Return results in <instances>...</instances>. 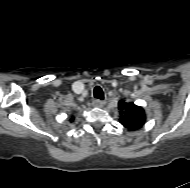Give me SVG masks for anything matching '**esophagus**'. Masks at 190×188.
Segmentation results:
<instances>
[{
	"label": "esophagus",
	"mask_w": 190,
	"mask_h": 188,
	"mask_svg": "<svg viewBox=\"0 0 190 188\" xmlns=\"http://www.w3.org/2000/svg\"><path fill=\"white\" fill-rule=\"evenodd\" d=\"M104 104H105L104 101L98 100V99L94 100L93 103H92V105H93L94 107H99V108L103 107Z\"/></svg>",
	"instance_id": "1"
}]
</instances>
